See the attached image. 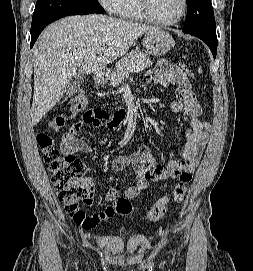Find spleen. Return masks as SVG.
Returning a JSON list of instances; mask_svg holds the SVG:
<instances>
[{
	"instance_id": "spleen-1",
	"label": "spleen",
	"mask_w": 253,
	"mask_h": 271,
	"mask_svg": "<svg viewBox=\"0 0 253 271\" xmlns=\"http://www.w3.org/2000/svg\"><path fill=\"white\" fill-rule=\"evenodd\" d=\"M202 72V70H201V68H199V73H201Z\"/></svg>"
}]
</instances>
